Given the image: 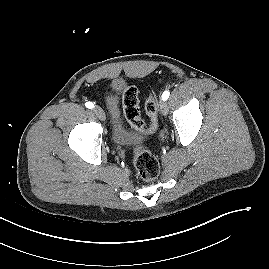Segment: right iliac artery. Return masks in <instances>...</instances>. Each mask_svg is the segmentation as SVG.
<instances>
[{"label":"right iliac artery","instance_id":"right-iliac-artery-1","mask_svg":"<svg viewBox=\"0 0 269 269\" xmlns=\"http://www.w3.org/2000/svg\"><path fill=\"white\" fill-rule=\"evenodd\" d=\"M85 106L89 109H92L94 107V104L92 102H86Z\"/></svg>","mask_w":269,"mask_h":269}]
</instances>
